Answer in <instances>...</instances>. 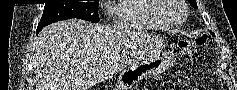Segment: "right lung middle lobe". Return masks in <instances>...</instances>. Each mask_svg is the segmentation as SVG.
<instances>
[{
	"instance_id": "obj_1",
	"label": "right lung middle lobe",
	"mask_w": 237,
	"mask_h": 90,
	"mask_svg": "<svg viewBox=\"0 0 237 90\" xmlns=\"http://www.w3.org/2000/svg\"><path fill=\"white\" fill-rule=\"evenodd\" d=\"M98 4L99 0L86 3L45 4L42 18L37 27V33L51 23L71 18H79L93 23H98L100 20L98 14Z\"/></svg>"
}]
</instances>
